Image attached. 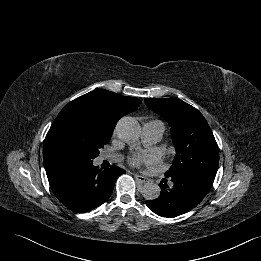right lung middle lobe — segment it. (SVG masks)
<instances>
[{"instance_id": "dd1d6c3e", "label": "right lung middle lobe", "mask_w": 261, "mask_h": 261, "mask_svg": "<svg viewBox=\"0 0 261 261\" xmlns=\"http://www.w3.org/2000/svg\"><path fill=\"white\" fill-rule=\"evenodd\" d=\"M114 128L88 108L64 113L44 141V158L52 168L93 162L111 139Z\"/></svg>"}]
</instances>
